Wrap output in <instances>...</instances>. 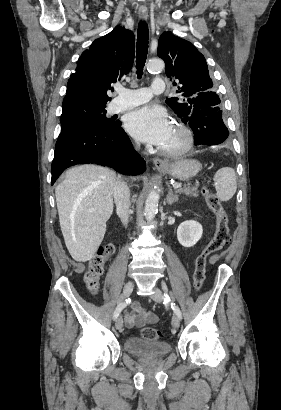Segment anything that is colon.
<instances>
[{
	"label": "colon",
	"instance_id": "1",
	"mask_svg": "<svg viewBox=\"0 0 281 410\" xmlns=\"http://www.w3.org/2000/svg\"><path fill=\"white\" fill-rule=\"evenodd\" d=\"M203 195L209 209L217 216V229L214 237L198 255L195 261L194 288L199 291L205 280V271L208 258L222 250L230 241L229 218L224 211L218 196L208 187H203ZM115 247L112 244L99 247L96 254L91 258L88 269L84 276L87 289L96 294L100 287V278L104 271L105 262L114 254ZM142 336L148 340H157L162 337V332L156 328L145 327L141 331Z\"/></svg>",
	"mask_w": 281,
	"mask_h": 410
}]
</instances>
